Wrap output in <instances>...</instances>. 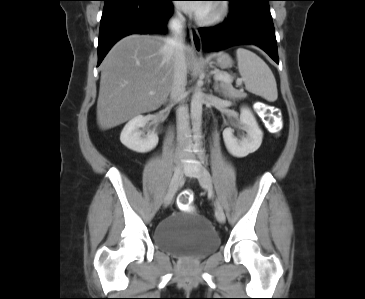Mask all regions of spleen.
Wrapping results in <instances>:
<instances>
[{
    "label": "spleen",
    "instance_id": "1",
    "mask_svg": "<svg viewBox=\"0 0 365 299\" xmlns=\"http://www.w3.org/2000/svg\"><path fill=\"white\" fill-rule=\"evenodd\" d=\"M238 70L246 89L268 101L278 97L275 77L268 65L254 52L238 48L236 50Z\"/></svg>",
    "mask_w": 365,
    "mask_h": 299
}]
</instances>
